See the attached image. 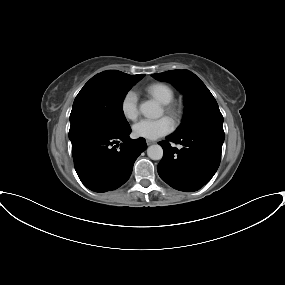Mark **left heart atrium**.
I'll return each mask as SVG.
<instances>
[{
	"label": "left heart atrium",
	"mask_w": 285,
	"mask_h": 285,
	"mask_svg": "<svg viewBox=\"0 0 285 285\" xmlns=\"http://www.w3.org/2000/svg\"><path fill=\"white\" fill-rule=\"evenodd\" d=\"M174 129V122L167 116L159 119H142L133 126L136 137L155 140L170 133Z\"/></svg>",
	"instance_id": "obj_1"
}]
</instances>
